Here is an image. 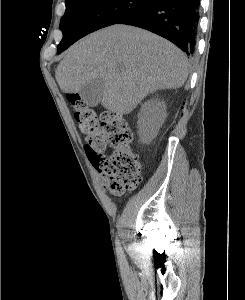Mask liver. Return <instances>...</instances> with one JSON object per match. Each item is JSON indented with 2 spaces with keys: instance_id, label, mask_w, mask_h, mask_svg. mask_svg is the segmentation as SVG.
Instances as JSON below:
<instances>
[{
  "instance_id": "liver-1",
  "label": "liver",
  "mask_w": 245,
  "mask_h": 300,
  "mask_svg": "<svg viewBox=\"0 0 245 300\" xmlns=\"http://www.w3.org/2000/svg\"><path fill=\"white\" fill-rule=\"evenodd\" d=\"M189 75L186 55L171 42L144 29L112 25L70 47L55 77L65 94L103 79L102 106L129 114L148 94L177 89Z\"/></svg>"
}]
</instances>
